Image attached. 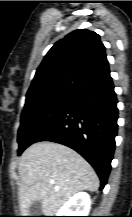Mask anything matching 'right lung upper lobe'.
<instances>
[{
  "label": "right lung upper lobe",
  "mask_w": 132,
  "mask_h": 217,
  "mask_svg": "<svg viewBox=\"0 0 132 217\" xmlns=\"http://www.w3.org/2000/svg\"><path fill=\"white\" fill-rule=\"evenodd\" d=\"M110 80L105 47L99 35L78 29L56 42L48 51L26 98L59 91L78 95Z\"/></svg>",
  "instance_id": "cb5924a9"
}]
</instances>
